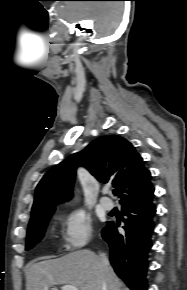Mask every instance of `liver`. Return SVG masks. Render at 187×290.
<instances>
[{"label":"liver","instance_id":"6515ba94","mask_svg":"<svg viewBox=\"0 0 187 290\" xmlns=\"http://www.w3.org/2000/svg\"><path fill=\"white\" fill-rule=\"evenodd\" d=\"M26 290H45L55 285H74L80 290H127L110 265L99 256L79 250L57 259L30 264L26 269Z\"/></svg>","mask_w":187,"mask_h":290}]
</instances>
